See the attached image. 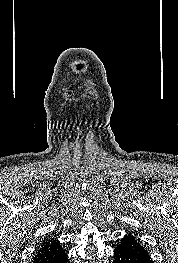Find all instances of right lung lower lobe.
<instances>
[{
  "label": "right lung lower lobe",
  "instance_id": "98d812e1",
  "mask_svg": "<svg viewBox=\"0 0 178 263\" xmlns=\"http://www.w3.org/2000/svg\"><path fill=\"white\" fill-rule=\"evenodd\" d=\"M43 263H69V262L66 253L64 252V250H62L57 254H55L54 256H52L51 258L43 261Z\"/></svg>",
  "mask_w": 178,
  "mask_h": 263
}]
</instances>
